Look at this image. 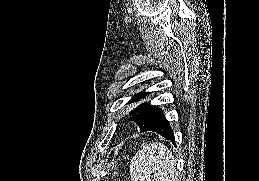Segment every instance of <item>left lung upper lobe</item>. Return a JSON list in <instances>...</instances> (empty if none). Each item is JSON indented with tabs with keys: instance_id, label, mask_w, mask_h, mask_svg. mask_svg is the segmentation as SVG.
Returning <instances> with one entry per match:
<instances>
[{
	"instance_id": "left-lung-upper-lobe-1",
	"label": "left lung upper lobe",
	"mask_w": 259,
	"mask_h": 181,
	"mask_svg": "<svg viewBox=\"0 0 259 181\" xmlns=\"http://www.w3.org/2000/svg\"><path fill=\"white\" fill-rule=\"evenodd\" d=\"M147 94L148 93L145 92L136 94L128 102V104L139 101L141 98H144ZM160 112V108L152 106L149 103H144L136 107L131 112H129V114L132 116L131 120L139 126L140 132H143L157 118Z\"/></svg>"
}]
</instances>
